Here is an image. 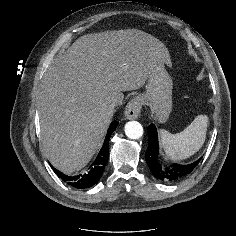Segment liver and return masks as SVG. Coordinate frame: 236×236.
I'll return each instance as SVG.
<instances>
[{
  "mask_svg": "<svg viewBox=\"0 0 236 236\" xmlns=\"http://www.w3.org/2000/svg\"><path fill=\"white\" fill-rule=\"evenodd\" d=\"M170 64L165 45L136 29L87 34L54 59L39 92L41 141L66 174L83 168L101 145L122 92L143 87L157 64Z\"/></svg>",
  "mask_w": 236,
  "mask_h": 236,
  "instance_id": "liver-1",
  "label": "liver"
}]
</instances>
